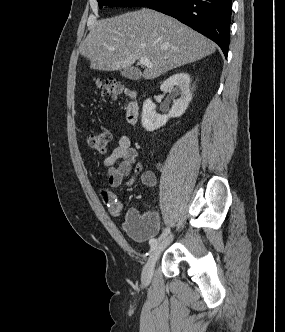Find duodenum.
I'll use <instances>...</instances> for the list:
<instances>
[{"mask_svg": "<svg viewBox=\"0 0 285 332\" xmlns=\"http://www.w3.org/2000/svg\"><path fill=\"white\" fill-rule=\"evenodd\" d=\"M136 97L137 94L133 91L130 95V101L126 106V119L131 124H135L139 116V103Z\"/></svg>", "mask_w": 285, "mask_h": 332, "instance_id": "obj_1", "label": "duodenum"}]
</instances>
